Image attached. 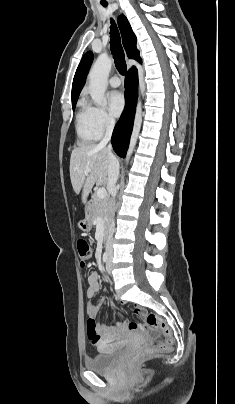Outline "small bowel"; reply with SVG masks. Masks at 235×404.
<instances>
[{
    "label": "small bowel",
    "mask_w": 235,
    "mask_h": 404,
    "mask_svg": "<svg viewBox=\"0 0 235 404\" xmlns=\"http://www.w3.org/2000/svg\"><path fill=\"white\" fill-rule=\"evenodd\" d=\"M99 276L97 273L93 272L89 274L87 278V288H86V295L87 297H93L99 291ZM105 302V299H101L99 302L96 303H88L87 304V314L89 316V320H93L98 313L100 307ZM116 310L115 307H113ZM95 323V321H94ZM87 330H90L89 326L87 325ZM94 331L96 333L97 338L102 344L99 347L104 346V344L118 341L120 342L124 337H126L130 333V327H128L127 322L118 323L116 326H107L105 324L95 323Z\"/></svg>",
    "instance_id": "1"
}]
</instances>
